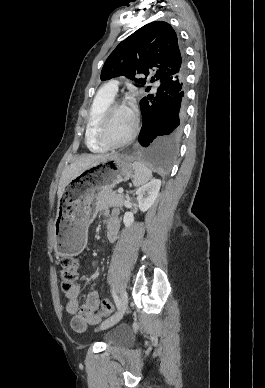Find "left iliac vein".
<instances>
[{"label":"left iliac vein","instance_id":"left-iliac-vein-1","mask_svg":"<svg viewBox=\"0 0 265 388\" xmlns=\"http://www.w3.org/2000/svg\"><path fill=\"white\" fill-rule=\"evenodd\" d=\"M127 305H128V295H127V292L125 290H122L121 296H120V306H119L117 312L113 316H111L108 320L103 322L100 325V329L105 330V329H108V328L114 326L115 324H117L122 319L123 315L125 314V311L127 309Z\"/></svg>","mask_w":265,"mask_h":388}]
</instances>
